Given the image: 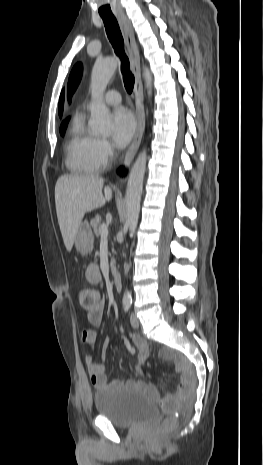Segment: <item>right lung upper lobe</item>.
<instances>
[{"mask_svg": "<svg viewBox=\"0 0 263 465\" xmlns=\"http://www.w3.org/2000/svg\"><path fill=\"white\" fill-rule=\"evenodd\" d=\"M63 103H64V90L62 91L61 96H60V100H59L58 112H59L60 117L62 116V113H63Z\"/></svg>", "mask_w": 263, "mask_h": 465, "instance_id": "1", "label": "right lung upper lobe"}]
</instances>
